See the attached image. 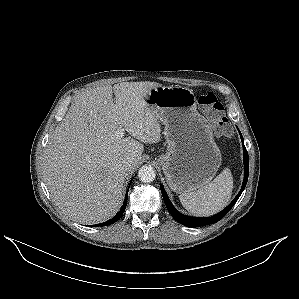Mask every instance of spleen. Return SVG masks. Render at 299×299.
<instances>
[{
  "label": "spleen",
  "mask_w": 299,
  "mask_h": 299,
  "mask_svg": "<svg viewBox=\"0 0 299 299\" xmlns=\"http://www.w3.org/2000/svg\"><path fill=\"white\" fill-rule=\"evenodd\" d=\"M233 190V177L229 168L224 169L212 182L197 191L182 193L179 199L190 213L207 217L224 209Z\"/></svg>",
  "instance_id": "3e777b00"
}]
</instances>
